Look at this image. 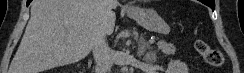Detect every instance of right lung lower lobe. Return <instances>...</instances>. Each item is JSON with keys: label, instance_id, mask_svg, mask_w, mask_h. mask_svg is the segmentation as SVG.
<instances>
[{"label": "right lung lower lobe", "instance_id": "1", "mask_svg": "<svg viewBox=\"0 0 244 73\" xmlns=\"http://www.w3.org/2000/svg\"><path fill=\"white\" fill-rule=\"evenodd\" d=\"M31 1H32V0H27V6L30 4Z\"/></svg>", "mask_w": 244, "mask_h": 73}]
</instances>
